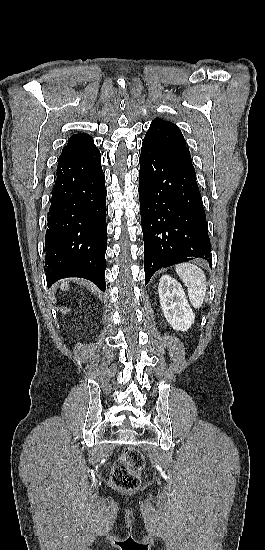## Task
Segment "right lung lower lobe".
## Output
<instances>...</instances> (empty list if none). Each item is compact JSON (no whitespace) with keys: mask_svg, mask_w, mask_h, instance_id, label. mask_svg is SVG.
Returning a JSON list of instances; mask_svg holds the SVG:
<instances>
[{"mask_svg":"<svg viewBox=\"0 0 265 550\" xmlns=\"http://www.w3.org/2000/svg\"><path fill=\"white\" fill-rule=\"evenodd\" d=\"M99 150L59 159L45 236L48 287L64 277L105 291L106 188Z\"/></svg>","mask_w":265,"mask_h":550,"instance_id":"98d812e1","label":"right lung lower lobe"}]
</instances>
